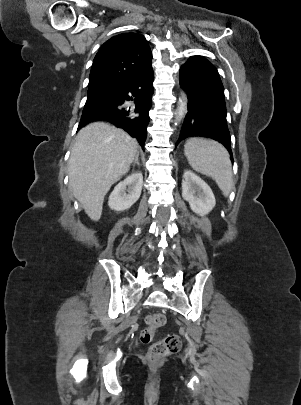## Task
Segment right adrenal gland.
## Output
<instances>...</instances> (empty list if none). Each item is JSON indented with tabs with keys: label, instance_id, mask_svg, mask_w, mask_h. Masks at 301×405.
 <instances>
[{
	"label": "right adrenal gland",
	"instance_id": "right-adrenal-gland-1",
	"mask_svg": "<svg viewBox=\"0 0 301 405\" xmlns=\"http://www.w3.org/2000/svg\"><path fill=\"white\" fill-rule=\"evenodd\" d=\"M138 158H139V152L137 151L136 155H135V159L133 161V167L135 166V164H137V166H140Z\"/></svg>",
	"mask_w": 301,
	"mask_h": 405
}]
</instances>
